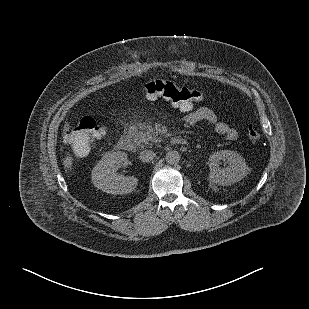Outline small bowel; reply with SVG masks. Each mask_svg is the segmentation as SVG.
<instances>
[{
  "instance_id": "c3829d8e",
  "label": "small bowel",
  "mask_w": 309,
  "mask_h": 309,
  "mask_svg": "<svg viewBox=\"0 0 309 309\" xmlns=\"http://www.w3.org/2000/svg\"><path fill=\"white\" fill-rule=\"evenodd\" d=\"M154 99L156 98H148V100ZM172 107L178 109L181 113L184 114V122L187 125H195L199 122L204 121L212 124L214 126L215 132L220 135H224L228 140H235L237 138L236 130L228 126L224 122L219 121L215 113L207 107H200L194 109L193 105L188 106L181 103H172ZM91 145L92 143L89 144V147H91Z\"/></svg>"
}]
</instances>
